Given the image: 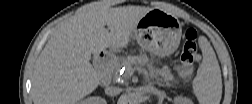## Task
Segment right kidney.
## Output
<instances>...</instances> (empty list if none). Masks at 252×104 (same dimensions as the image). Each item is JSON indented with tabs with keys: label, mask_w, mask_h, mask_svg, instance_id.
I'll list each match as a JSON object with an SVG mask.
<instances>
[{
	"label": "right kidney",
	"mask_w": 252,
	"mask_h": 104,
	"mask_svg": "<svg viewBox=\"0 0 252 104\" xmlns=\"http://www.w3.org/2000/svg\"><path fill=\"white\" fill-rule=\"evenodd\" d=\"M81 104H106V100L101 97H88L80 102Z\"/></svg>",
	"instance_id": "1"
}]
</instances>
